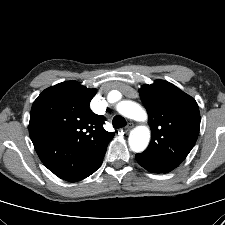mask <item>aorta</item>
Instances as JSON below:
<instances>
[{"instance_id": "1", "label": "aorta", "mask_w": 225, "mask_h": 225, "mask_svg": "<svg viewBox=\"0 0 225 225\" xmlns=\"http://www.w3.org/2000/svg\"><path fill=\"white\" fill-rule=\"evenodd\" d=\"M117 111L135 121H145L147 119L146 111L133 101H121L117 105ZM150 141V129L147 126H137L129 134L128 143L133 152H143Z\"/></svg>"}]
</instances>
